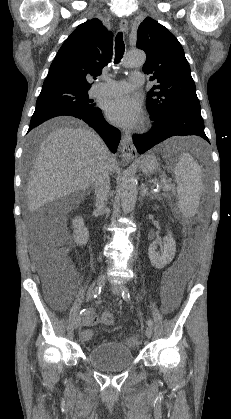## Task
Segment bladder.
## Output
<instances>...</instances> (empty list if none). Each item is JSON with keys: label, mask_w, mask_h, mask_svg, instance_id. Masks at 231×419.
<instances>
[{"label": "bladder", "mask_w": 231, "mask_h": 419, "mask_svg": "<svg viewBox=\"0 0 231 419\" xmlns=\"http://www.w3.org/2000/svg\"><path fill=\"white\" fill-rule=\"evenodd\" d=\"M87 361L94 368L105 371H122L134 361L132 350L120 342H102L90 348L86 355Z\"/></svg>", "instance_id": "31cf9c89"}]
</instances>
